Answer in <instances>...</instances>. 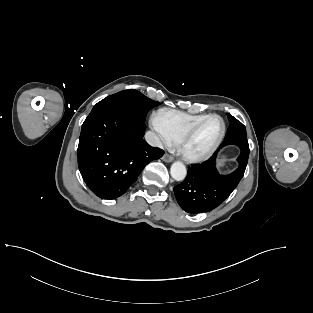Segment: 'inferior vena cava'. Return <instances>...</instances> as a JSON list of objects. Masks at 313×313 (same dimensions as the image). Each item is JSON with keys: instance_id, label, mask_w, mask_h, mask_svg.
<instances>
[{"instance_id": "1", "label": "inferior vena cava", "mask_w": 313, "mask_h": 313, "mask_svg": "<svg viewBox=\"0 0 313 313\" xmlns=\"http://www.w3.org/2000/svg\"><path fill=\"white\" fill-rule=\"evenodd\" d=\"M145 139L148 142V144H150L153 147H160V148L162 147V142L160 138L151 131L146 132Z\"/></svg>"}]
</instances>
